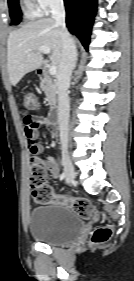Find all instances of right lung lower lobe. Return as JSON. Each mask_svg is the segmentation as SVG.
Returning <instances> with one entry per match:
<instances>
[{"instance_id": "1", "label": "right lung lower lobe", "mask_w": 134, "mask_h": 281, "mask_svg": "<svg viewBox=\"0 0 134 281\" xmlns=\"http://www.w3.org/2000/svg\"><path fill=\"white\" fill-rule=\"evenodd\" d=\"M64 3L69 31L75 34L88 49L97 0H64Z\"/></svg>"}]
</instances>
